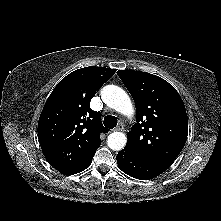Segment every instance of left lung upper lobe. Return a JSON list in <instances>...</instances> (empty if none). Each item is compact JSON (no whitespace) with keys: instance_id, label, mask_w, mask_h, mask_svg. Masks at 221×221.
Instances as JSON below:
<instances>
[{"instance_id":"obj_1","label":"left lung upper lobe","mask_w":221,"mask_h":221,"mask_svg":"<svg viewBox=\"0 0 221 221\" xmlns=\"http://www.w3.org/2000/svg\"><path fill=\"white\" fill-rule=\"evenodd\" d=\"M117 74L132 95L137 112L125 149L167 169L187 140L188 118L180 95L156 75L129 70Z\"/></svg>"}]
</instances>
